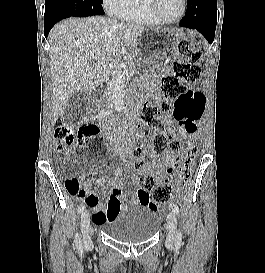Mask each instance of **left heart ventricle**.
<instances>
[{
    "label": "left heart ventricle",
    "instance_id": "left-heart-ventricle-1",
    "mask_svg": "<svg viewBox=\"0 0 265 273\" xmlns=\"http://www.w3.org/2000/svg\"><path fill=\"white\" fill-rule=\"evenodd\" d=\"M158 11L166 19H175L182 12V0H158Z\"/></svg>",
    "mask_w": 265,
    "mask_h": 273
}]
</instances>
